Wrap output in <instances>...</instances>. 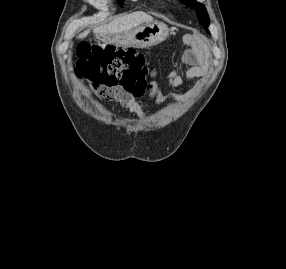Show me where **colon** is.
<instances>
[{
    "label": "colon",
    "instance_id": "5ec220e1",
    "mask_svg": "<svg viewBox=\"0 0 286 269\" xmlns=\"http://www.w3.org/2000/svg\"><path fill=\"white\" fill-rule=\"evenodd\" d=\"M77 71L102 87L109 98L116 88L137 93L147 86L148 69L144 57L133 48L82 42L77 47Z\"/></svg>",
    "mask_w": 286,
    "mask_h": 269
}]
</instances>
